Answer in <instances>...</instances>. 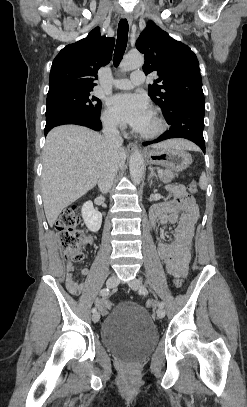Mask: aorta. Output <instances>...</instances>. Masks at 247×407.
<instances>
[{
  "label": "aorta",
  "mask_w": 247,
  "mask_h": 407,
  "mask_svg": "<svg viewBox=\"0 0 247 407\" xmlns=\"http://www.w3.org/2000/svg\"><path fill=\"white\" fill-rule=\"evenodd\" d=\"M144 64V57L140 53H129L125 56L120 63V70L122 72L130 71L142 67ZM129 170L132 181L139 184L144 175V158L139 151H134L130 155Z\"/></svg>",
  "instance_id": "obj_1"
}]
</instances>
